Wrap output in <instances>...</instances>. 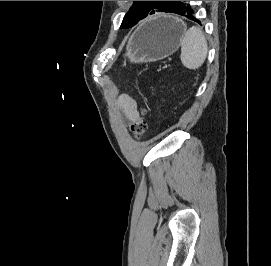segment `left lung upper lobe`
I'll list each match as a JSON object with an SVG mask.
<instances>
[{
    "label": "left lung upper lobe",
    "instance_id": "obj_1",
    "mask_svg": "<svg viewBox=\"0 0 271 266\" xmlns=\"http://www.w3.org/2000/svg\"><path fill=\"white\" fill-rule=\"evenodd\" d=\"M177 1H135L125 15L120 28H129L150 14L168 12Z\"/></svg>",
    "mask_w": 271,
    "mask_h": 266
}]
</instances>
